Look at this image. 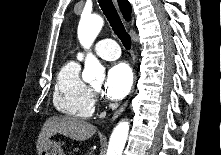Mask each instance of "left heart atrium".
Listing matches in <instances>:
<instances>
[{
	"label": "left heart atrium",
	"instance_id": "left-heart-atrium-1",
	"mask_svg": "<svg viewBox=\"0 0 221 155\" xmlns=\"http://www.w3.org/2000/svg\"><path fill=\"white\" fill-rule=\"evenodd\" d=\"M132 82L133 75L129 66L125 63L115 64L108 70L104 93L110 99H122L129 93Z\"/></svg>",
	"mask_w": 221,
	"mask_h": 155
}]
</instances>
